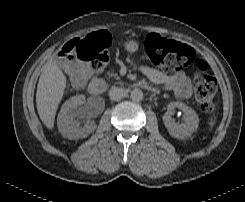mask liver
I'll use <instances>...</instances> for the list:
<instances>
[{
	"mask_svg": "<svg viewBox=\"0 0 245 202\" xmlns=\"http://www.w3.org/2000/svg\"><path fill=\"white\" fill-rule=\"evenodd\" d=\"M66 86L67 78L62 70L53 61L47 62L39 78L36 106L41 121L48 129L54 126L56 111Z\"/></svg>",
	"mask_w": 245,
	"mask_h": 202,
	"instance_id": "obj_1",
	"label": "liver"
}]
</instances>
